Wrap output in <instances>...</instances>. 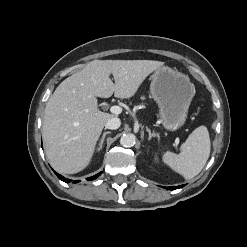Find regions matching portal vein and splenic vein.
I'll return each instance as SVG.
<instances>
[{"instance_id":"portal-vein-and-splenic-vein-1","label":"portal vein and splenic vein","mask_w":247,"mask_h":247,"mask_svg":"<svg viewBox=\"0 0 247 247\" xmlns=\"http://www.w3.org/2000/svg\"><path fill=\"white\" fill-rule=\"evenodd\" d=\"M110 111H111L113 114L118 115V114H120V113L122 112V108H121L120 106L115 105V106H112V107L110 108Z\"/></svg>"}]
</instances>
